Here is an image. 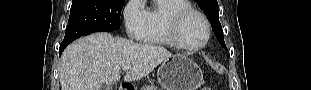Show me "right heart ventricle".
<instances>
[{
	"label": "right heart ventricle",
	"mask_w": 311,
	"mask_h": 90,
	"mask_svg": "<svg viewBox=\"0 0 311 90\" xmlns=\"http://www.w3.org/2000/svg\"><path fill=\"white\" fill-rule=\"evenodd\" d=\"M192 8L187 0H155L145 10L146 23L142 42L148 44L176 47L169 32V21L177 11Z\"/></svg>",
	"instance_id": "e07e8e85"
}]
</instances>
